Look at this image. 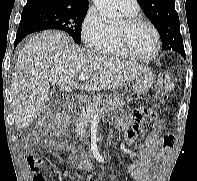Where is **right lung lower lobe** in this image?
Listing matches in <instances>:
<instances>
[{"mask_svg": "<svg viewBox=\"0 0 197 181\" xmlns=\"http://www.w3.org/2000/svg\"><path fill=\"white\" fill-rule=\"evenodd\" d=\"M45 30L43 29V27L28 22V21H21L19 24V28L17 30V35H16V40L14 43V47H16L18 45V43L28 34L33 33V32H37V31H42Z\"/></svg>", "mask_w": 197, "mask_h": 181, "instance_id": "98d812e1", "label": "right lung lower lobe"}]
</instances>
